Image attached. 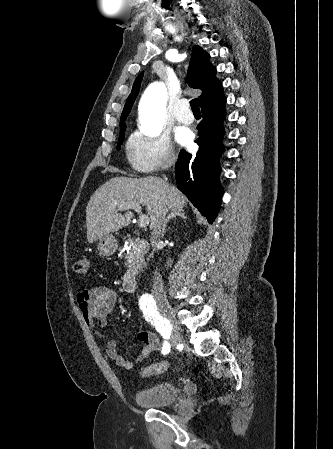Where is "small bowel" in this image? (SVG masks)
Returning <instances> with one entry per match:
<instances>
[{
	"instance_id": "1",
	"label": "small bowel",
	"mask_w": 333,
	"mask_h": 449,
	"mask_svg": "<svg viewBox=\"0 0 333 449\" xmlns=\"http://www.w3.org/2000/svg\"><path fill=\"white\" fill-rule=\"evenodd\" d=\"M117 303L116 292L106 286H98L83 290L77 295V305L83 316L85 323L91 327H104L108 318L113 313ZM97 334L100 335L98 331ZM137 340L142 343L139 356L135 360L126 359L118 350V346L113 340L105 341V352L107 356L118 367L130 370L136 364L148 357L159 347L160 340L157 335L149 331L137 333Z\"/></svg>"
}]
</instances>
